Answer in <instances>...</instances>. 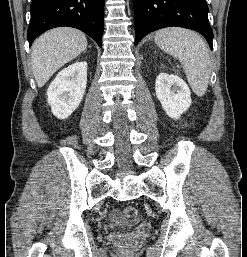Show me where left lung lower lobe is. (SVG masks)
<instances>
[{
  "instance_id": "obj_1",
  "label": "left lung lower lobe",
  "mask_w": 247,
  "mask_h": 257,
  "mask_svg": "<svg viewBox=\"0 0 247 257\" xmlns=\"http://www.w3.org/2000/svg\"><path fill=\"white\" fill-rule=\"evenodd\" d=\"M135 45L155 30L169 26L201 33L213 49V31L208 20L206 0H133Z\"/></svg>"
}]
</instances>
